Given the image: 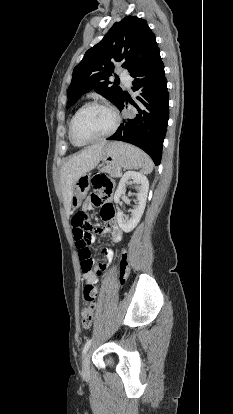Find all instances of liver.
<instances>
[{"instance_id":"1","label":"liver","mask_w":233,"mask_h":414,"mask_svg":"<svg viewBox=\"0 0 233 414\" xmlns=\"http://www.w3.org/2000/svg\"><path fill=\"white\" fill-rule=\"evenodd\" d=\"M107 142H100L84 148L79 154L72 156L62 167L60 180L63 203L67 215H70L74 187L78 180L94 169L100 162Z\"/></svg>"}]
</instances>
